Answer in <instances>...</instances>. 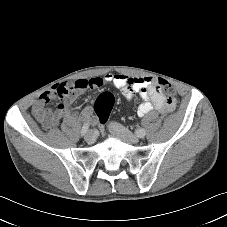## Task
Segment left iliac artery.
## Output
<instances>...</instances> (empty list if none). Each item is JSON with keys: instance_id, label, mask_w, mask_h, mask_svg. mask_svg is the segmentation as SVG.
<instances>
[{"instance_id": "44dca946", "label": "left iliac artery", "mask_w": 227, "mask_h": 227, "mask_svg": "<svg viewBox=\"0 0 227 227\" xmlns=\"http://www.w3.org/2000/svg\"><path fill=\"white\" fill-rule=\"evenodd\" d=\"M136 134H137L138 137L142 138V137H144L146 135V131L141 128V129H138L136 131Z\"/></svg>"}]
</instances>
